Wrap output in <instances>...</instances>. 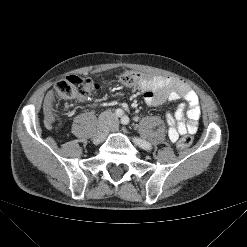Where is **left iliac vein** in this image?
Here are the masks:
<instances>
[{
	"label": "left iliac vein",
	"instance_id": "1",
	"mask_svg": "<svg viewBox=\"0 0 247 247\" xmlns=\"http://www.w3.org/2000/svg\"><path fill=\"white\" fill-rule=\"evenodd\" d=\"M118 129V122L115 121L114 124L111 127L112 131H116ZM133 142L138 145V141L135 138H132Z\"/></svg>",
	"mask_w": 247,
	"mask_h": 247
}]
</instances>
